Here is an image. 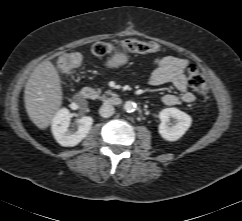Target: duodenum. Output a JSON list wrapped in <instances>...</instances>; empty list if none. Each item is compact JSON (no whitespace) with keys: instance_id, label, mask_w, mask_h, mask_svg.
Returning <instances> with one entry per match:
<instances>
[{"instance_id":"410a0bca","label":"duodenum","mask_w":242,"mask_h":221,"mask_svg":"<svg viewBox=\"0 0 242 221\" xmlns=\"http://www.w3.org/2000/svg\"><path fill=\"white\" fill-rule=\"evenodd\" d=\"M80 95L87 100L91 101H100L103 100L102 95L93 87H83L80 90ZM104 101L110 105L116 106L121 103V99L118 96H109L104 98Z\"/></svg>"}]
</instances>
